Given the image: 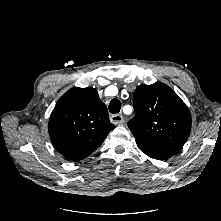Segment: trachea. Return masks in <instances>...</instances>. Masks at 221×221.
<instances>
[{
    "label": "trachea",
    "mask_w": 221,
    "mask_h": 221,
    "mask_svg": "<svg viewBox=\"0 0 221 221\" xmlns=\"http://www.w3.org/2000/svg\"><path fill=\"white\" fill-rule=\"evenodd\" d=\"M121 109V102L118 99H112L109 103V111L112 114L119 113Z\"/></svg>",
    "instance_id": "trachea-1"
}]
</instances>
